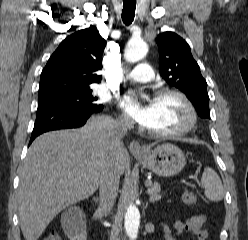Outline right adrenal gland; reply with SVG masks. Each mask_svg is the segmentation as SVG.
Instances as JSON below:
<instances>
[{
	"instance_id": "right-adrenal-gland-1",
	"label": "right adrenal gland",
	"mask_w": 248,
	"mask_h": 240,
	"mask_svg": "<svg viewBox=\"0 0 248 240\" xmlns=\"http://www.w3.org/2000/svg\"><path fill=\"white\" fill-rule=\"evenodd\" d=\"M93 200H94V202H95L96 204L99 203V198H98V197H94Z\"/></svg>"
}]
</instances>
